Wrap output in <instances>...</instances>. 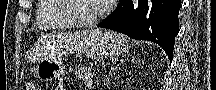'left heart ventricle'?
<instances>
[{
    "instance_id": "b2bd125f",
    "label": "left heart ventricle",
    "mask_w": 216,
    "mask_h": 90,
    "mask_svg": "<svg viewBox=\"0 0 216 90\" xmlns=\"http://www.w3.org/2000/svg\"><path fill=\"white\" fill-rule=\"evenodd\" d=\"M71 6H74L73 14L76 17L87 20L95 17L98 14L101 6V1H72Z\"/></svg>"
}]
</instances>
